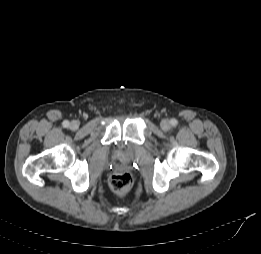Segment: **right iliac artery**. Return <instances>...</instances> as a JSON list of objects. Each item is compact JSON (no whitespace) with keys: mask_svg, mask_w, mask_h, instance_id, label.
I'll list each match as a JSON object with an SVG mask.
<instances>
[{"mask_svg":"<svg viewBox=\"0 0 261 254\" xmlns=\"http://www.w3.org/2000/svg\"><path fill=\"white\" fill-rule=\"evenodd\" d=\"M63 127L67 128L69 126V121L65 120L63 121Z\"/></svg>","mask_w":261,"mask_h":254,"instance_id":"right-iliac-artery-1","label":"right iliac artery"}]
</instances>
